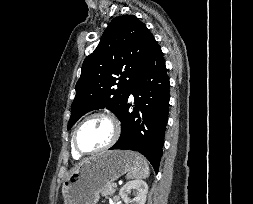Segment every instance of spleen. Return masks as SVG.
Masks as SVG:
<instances>
[{"label": "spleen", "mask_w": 253, "mask_h": 204, "mask_svg": "<svg viewBox=\"0 0 253 204\" xmlns=\"http://www.w3.org/2000/svg\"><path fill=\"white\" fill-rule=\"evenodd\" d=\"M149 174L150 170L147 161L141 156H136L135 167L127 174V179H145Z\"/></svg>", "instance_id": "spleen-1"}]
</instances>
